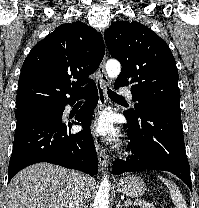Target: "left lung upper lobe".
<instances>
[{"label":"left lung upper lobe","instance_id":"left-lung-upper-lobe-1","mask_svg":"<svg viewBox=\"0 0 199 208\" xmlns=\"http://www.w3.org/2000/svg\"><path fill=\"white\" fill-rule=\"evenodd\" d=\"M111 56L121 62L115 87L131 86L135 110L126 111L138 118L141 109L181 112L178 70L166 42L146 26L117 21L104 33Z\"/></svg>","mask_w":199,"mask_h":208}]
</instances>
